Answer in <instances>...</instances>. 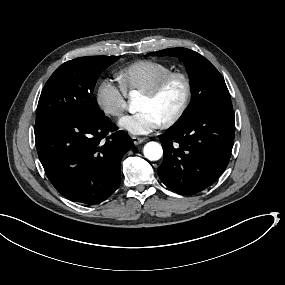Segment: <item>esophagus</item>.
Returning <instances> with one entry per match:
<instances>
[{"mask_svg": "<svg viewBox=\"0 0 285 285\" xmlns=\"http://www.w3.org/2000/svg\"><path fill=\"white\" fill-rule=\"evenodd\" d=\"M131 140L135 145H138L146 141V138L132 137Z\"/></svg>", "mask_w": 285, "mask_h": 285, "instance_id": "esophagus-1", "label": "esophagus"}]
</instances>
